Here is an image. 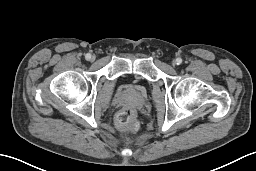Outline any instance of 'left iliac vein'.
<instances>
[{"instance_id": "1", "label": "left iliac vein", "mask_w": 256, "mask_h": 171, "mask_svg": "<svg viewBox=\"0 0 256 171\" xmlns=\"http://www.w3.org/2000/svg\"><path fill=\"white\" fill-rule=\"evenodd\" d=\"M172 64H173V65H177V61H176V60H174Z\"/></svg>"}]
</instances>
